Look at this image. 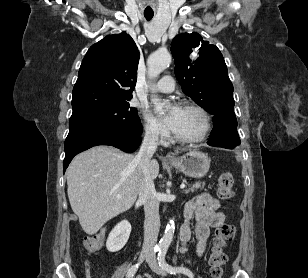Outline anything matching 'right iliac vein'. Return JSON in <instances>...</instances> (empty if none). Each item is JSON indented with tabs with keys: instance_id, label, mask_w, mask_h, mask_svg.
I'll list each match as a JSON object with an SVG mask.
<instances>
[{
	"instance_id": "63e3f726",
	"label": "right iliac vein",
	"mask_w": 308,
	"mask_h": 278,
	"mask_svg": "<svg viewBox=\"0 0 308 278\" xmlns=\"http://www.w3.org/2000/svg\"><path fill=\"white\" fill-rule=\"evenodd\" d=\"M149 256V252L148 251H142L140 253L139 256V262H142L145 258H147Z\"/></svg>"
}]
</instances>
